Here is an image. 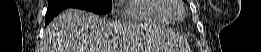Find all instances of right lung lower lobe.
<instances>
[{
	"label": "right lung lower lobe",
	"instance_id": "obj_1",
	"mask_svg": "<svg viewBox=\"0 0 261 52\" xmlns=\"http://www.w3.org/2000/svg\"><path fill=\"white\" fill-rule=\"evenodd\" d=\"M64 7H48L46 12V25L56 16L59 12H61Z\"/></svg>",
	"mask_w": 261,
	"mask_h": 52
}]
</instances>
